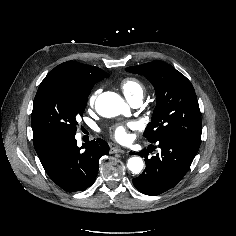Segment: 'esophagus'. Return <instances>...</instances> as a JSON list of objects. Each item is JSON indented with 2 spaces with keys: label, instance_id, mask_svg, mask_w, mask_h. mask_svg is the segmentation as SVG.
Listing matches in <instances>:
<instances>
[{
  "label": "esophagus",
  "instance_id": "34e87169",
  "mask_svg": "<svg viewBox=\"0 0 236 236\" xmlns=\"http://www.w3.org/2000/svg\"><path fill=\"white\" fill-rule=\"evenodd\" d=\"M114 153H125V150H123L119 147H111L110 154H114Z\"/></svg>",
  "mask_w": 236,
  "mask_h": 236
}]
</instances>
